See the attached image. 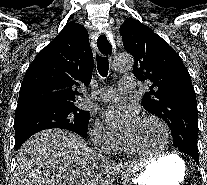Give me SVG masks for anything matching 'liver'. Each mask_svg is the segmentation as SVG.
<instances>
[{
  "mask_svg": "<svg viewBox=\"0 0 207 185\" xmlns=\"http://www.w3.org/2000/svg\"><path fill=\"white\" fill-rule=\"evenodd\" d=\"M95 163L92 149L79 135L46 129L19 149L13 181L15 185H85L87 171Z\"/></svg>",
  "mask_w": 207,
  "mask_h": 185,
  "instance_id": "obj_1",
  "label": "liver"
}]
</instances>
